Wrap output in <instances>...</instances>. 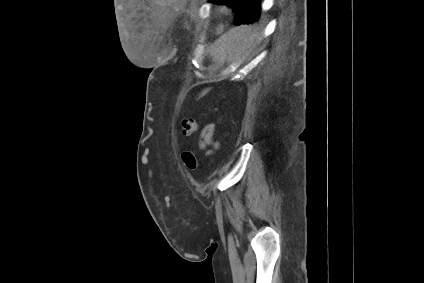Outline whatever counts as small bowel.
I'll return each instance as SVG.
<instances>
[{"mask_svg": "<svg viewBox=\"0 0 424 283\" xmlns=\"http://www.w3.org/2000/svg\"><path fill=\"white\" fill-rule=\"evenodd\" d=\"M214 128H215L214 124H209L204 128L201 134V142H200L201 147L204 148L208 145H213L217 147V144L213 141Z\"/></svg>", "mask_w": 424, "mask_h": 283, "instance_id": "small-bowel-1", "label": "small bowel"}]
</instances>
